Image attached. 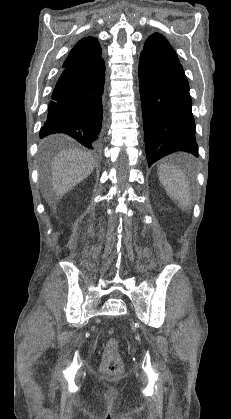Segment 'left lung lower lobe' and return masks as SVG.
Masks as SVG:
<instances>
[{"label":"left lung lower lobe","mask_w":231,"mask_h":419,"mask_svg":"<svg viewBox=\"0 0 231 419\" xmlns=\"http://www.w3.org/2000/svg\"><path fill=\"white\" fill-rule=\"evenodd\" d=\"M139 85L148 165L179 152L198 157L192 100L182 65L141 52Z\"/></svg>","instance_id":"obj_1"}]
</instances>
